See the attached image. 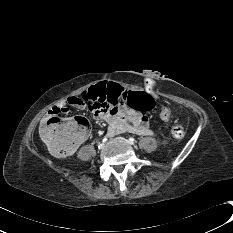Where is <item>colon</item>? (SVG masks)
<instances>
[{
	"mask_svg": "<svg viewBox=\"0 0 233 233\" xmlns=\"http://www.w3.org/2000/svg\"><path fill=\"white\" fill-rule=\"evenodd\" d=\"M79 98L88 105L103 103L116 107L120 103L124 107H133L140 111H148L153 106L152 100L148 99L144 93L128 90L125 85L111 79L95 84ZM60 111L63 110L55 111L44 118L40 126V134L56 156L66 158L73 153L76 145L85 139L89 125L84 118L63 122L58 116ZM172 114L173 110L170 107H163L160 117L168 120ZM170 134L175 139H183L186 132L182 126L174 125L170 129Z\"/></svg>",
	"mask_w": 233,
	"mask_h": 233,
	"instance_id": "5ec220e1",
	"label": "colon"
}]
</instances>
